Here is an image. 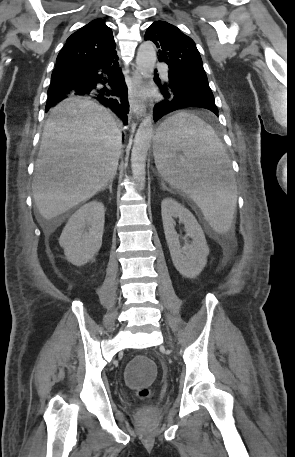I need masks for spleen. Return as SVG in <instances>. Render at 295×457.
<instances>
[{"label": "spleen", "mask_w": 295, "mask_h": 457, "mask_svg": "<svg viewBox=\"0 0 295 457\" xmlns=\"http://www.w3.org/2000/svg\"><path fill=\"white\" fill-rule=\"evenodd\" d=\"M154 158L160 175L190 196L215 232L230 230L237 184L225 148L208 124L186 111L168 118L158 129Z\"/></svg>", "instance_id": "3e777b00"}]
</instances>
